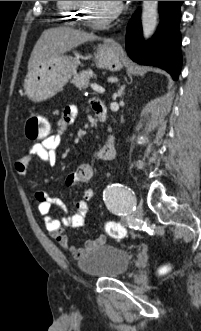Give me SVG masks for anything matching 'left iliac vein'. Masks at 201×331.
I'll list each match as a JSON object with an SVG mask.
<instances>
[{"instance_id": "4c4485c4", "label": "left iliac vein", "mask_w": 201, "mask_h": 331, "mask_svg": "<svg viewBox=\"0 0 201 331\" xmlns=\"http://www.w3.org/2000/svg\"><path fill=\"white\" fill-rule=\"evenodd\" d=\"M133 217L137 220H141L143 217L142 205L138 204L135 211L133 212Z\"/></svg>"}]
</instances>
